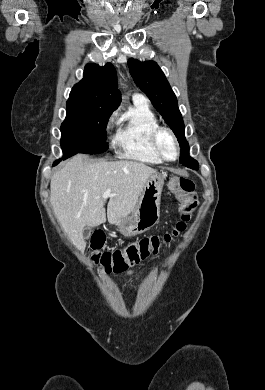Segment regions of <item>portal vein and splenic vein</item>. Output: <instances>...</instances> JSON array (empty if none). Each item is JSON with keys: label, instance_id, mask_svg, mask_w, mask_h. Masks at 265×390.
Returning a JSON list of instances; mask_svg holds the SVG:
<instances>
[{"label": "portal vein and splenic vein", "instance_id": "portal-vein-and-splenic-vein-1", "mask_svg": "<svg viewBox=\"0 0 265 390\" xmlns=\"http://www.w3.org/2000/svg\"><path fill=\"white\" fill-rule=\"evenodd\" d=\"M114 194H112L111 193V190L110 189H108V190H106V192H104V194L102 195V197L103 198H108V197H110V196H113Z\"/></svg>", "mask_w": 265, "mask_h": 390}]
</instances>
